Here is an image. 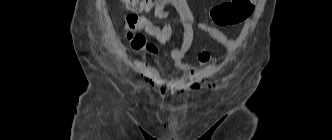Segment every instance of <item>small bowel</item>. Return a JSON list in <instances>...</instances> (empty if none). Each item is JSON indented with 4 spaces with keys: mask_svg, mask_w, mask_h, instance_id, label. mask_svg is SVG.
<instances>
[{
    "mask_svg": "<svg viewBox=\"0 0 332 140\" xmlns=\"http://www.w3.org/2000/svg\"><path fill=\"white\" fill-rule=\"evenodd\" d=\"M168 7H173L179 17L182 25V38L180 43L171 51V58L174 70L169 77L163 76L155 68H149L145 72L148 83L156 87L162 94H176L184 92L189 88L190 81L199 67H204L210 60V54L206 49H201L198 54L199 66L188 64L184 61L194 40V27L206 33L226 54L232 53L241 43L248 24H245L241 34L236 39H229L219 29L208 25L205 22H196L192 12L189 9L187 0H156L155 15L158 18H167ZM149 6L146 10H150ZM162 44L168 43L172 38H165L161 35L153 36Z\"/></svg>",
    "mask_w": 332,
    "mask_h": 140,
    "instance_id": "c3829d8e",
    "label": "small bowel"
}]
</instances>
